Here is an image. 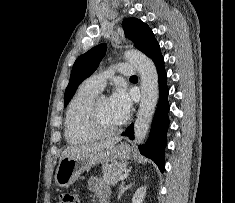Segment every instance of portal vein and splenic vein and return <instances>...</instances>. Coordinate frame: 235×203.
I'll list each match as a JSON object with an SVG mask.
<instances>
[{
	"label": "portal vein and splenic vein",
	"instance_id": "obj_1",
	"mask_svg": "<svg viewBox=\"0 0 235 203\" xmlns=\"http://www.w3.org/2000/svg\"><path fill=\"white\" fill-rule=\"evenodd\" d=\"M128 173H124V174H122L120 177H119V180H123V179H125V178H127L128 177Z\"/></svg>",
	"mask_w": 235,
	"mask_h": 203
}]
</instances>
